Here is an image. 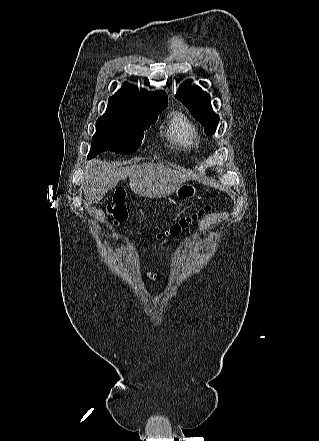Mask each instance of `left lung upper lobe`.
<instances>
[{
  "label": "left lung upper lobe",
  "instance_id": "obj_1",
  "mask_svg": "<svg viewBox=\"0 0 319 441\" xmlns=\"http://www.w3.org/2000/svg\"><path fill=\"white\" fill-rule=\"evenodd\" d=\"M191 80L180 86L176 98L187 107L192 116L203 126L206 134H213L216 130L219 118L211 108L210 96L201 88L195 86L189 88Z\"/></svg>",
  "mask_w": 319,
  "mask_h": 441
}]
</instances>
